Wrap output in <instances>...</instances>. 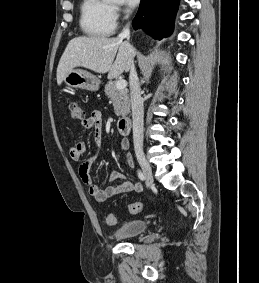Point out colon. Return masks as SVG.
<instances>
[{"label": "colon", "instance_id": "1", "mask_svg": "<svg viewBox=\"0 0 259 283\" xmlns=\"http://www.w3.org/2000/svg\"><path fill=\"white\" fill-rule=\"evenodd\" d=\"M69 110H70L71 117L74 120H77V121H83L84 120V112H83L81 106L77 102H71L69 104ZM141 210H142V204L141 203L133 202V203H130L128 205V212L130 214H137V213L141 212ZM106 223L109 226H113V225L116 224V218H115L114 214L109 213V214L106 215Z\"/></svg>", "mask_w": 259, "mask_h": 283}]
</instances>
